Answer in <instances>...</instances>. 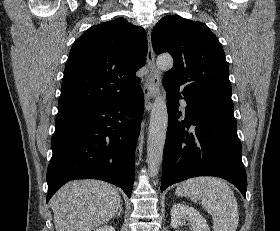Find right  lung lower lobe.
<instances>
[{
  "instance_id": "98d812e1",
  "label": "right lung lower lobe",
  "mask_w": 280,
  "mask_h": 231,
  "mask_svg": "<svg viewBox=\"0 0 280 231\" xmlns=\"http://www.w3.org/2000/svg\"><path fill=\"white\" fill-rule=\"evenodd\" d=\"M143 110L140 90L124 100L56 118L46 202L74 179L104 180L130 197Z\"/></svg>"
}]
</instances>
